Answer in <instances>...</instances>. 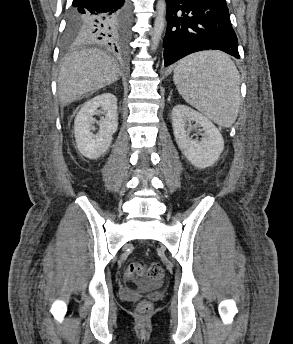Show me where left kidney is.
I'll use <instances>...</instances> for the list:
<instances>
[{
  "label": "left kidney",
  "instance_id": "obj_1",
  "mask_svg": "<svg viewBox=\"0 0 293 344\" xmlns=\"http://www.w3.org/2000/svg\"><path fill=\"white\" fill-rule=\"evenodd\" d=\"M191 122L202 127L200 141L190 138ZM172 127L178 147L195 167L212 166L224 149V140L218 128L204 115L186 105H176L172 110Z\"/></svg>",
  "mask_w": 293,
  "mask_h": 344
}]
</instances>
